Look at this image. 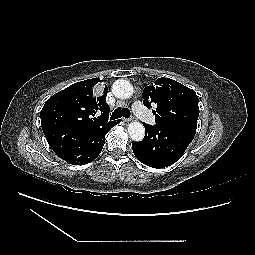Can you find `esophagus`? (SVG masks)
<instances>
[{
    "mask_svg": "<svg viewBox=\"0 0 255 255\" xmlns=\"http://www.w3.org/2000/svg\"><path fill=\"white\" fill-rule=\"evenodd\" d=\"M123 121H124L125 123H129V122L132 121V118H123Z\"/></svg>",
    "mask_w": 255,
    "mask_h": 255,
    "instance_id": "obj_1",
    "label": "esophagus"
}]
</instances>
